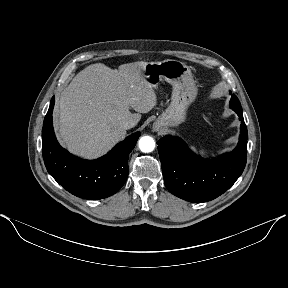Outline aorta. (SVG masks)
I'll return each mask as SVG.
<instances>
[{
	"mask_svg": "<svg viewBox=\"0 0 288 288\" xmlns=\"http://www.w3.org/2000/svg\"><path fill=\"white\" fill-rule=\"evenodd\" d=\"M139 148L144 153L152 152L155 148V141L150 136H144L139 140Z\"/></svg>",
	"mask_w": 288,
	"mask_h": 288,
	"instance_id": "aorta-1",
	"label": "aorta"
}]
</instances>
